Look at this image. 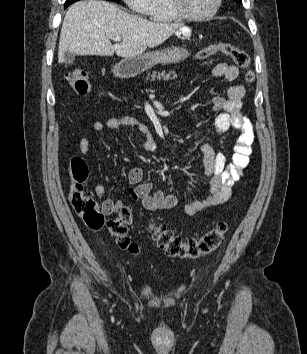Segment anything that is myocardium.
Listing matches in <instances>:
<instances>
[{
    "label": "myocardium",
    "mask_w": 307,
    "mask_h": 354,
    "mask_svg": "<svg viewBox=\"0 0 307 354\" xmlns=\"http://www.w3.org/2000/svg\"><path fill=\"white\" fill-rule=\"evenodd\" d=\"M221 4H222V0H215V4L213 8L208 13L203 15H192L185 10L183 0H169V5L173 13L179 19L189 20V21H206L213 18L218 13Z\"/></svg>",
    "instance_id": "f54148a6"
}]
</instances>
